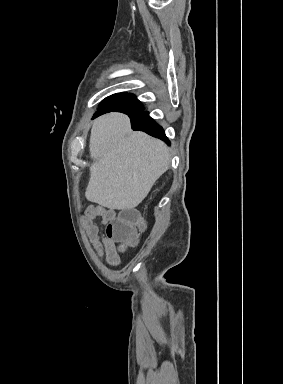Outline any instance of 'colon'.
Returning a JSON list of instances; mask_svg holds the SVG:
<instances>
[{
	"mask_svg": "<svg viewBox=\"0 0 283 384\" xmlns=\"http://www.w3.org/2000/svg\"><path fill=\"white\" fill-rule=\"evenodd\" d=\"M142 226V218L135 209L121 212L107 227L108 236L117 243L131 244Z\"/></svg>",
	"mask_w": 283,
	"mask_h": 384,
	"instance_id": "5ec220e1",
	"label": "colon"
}]
</instances>
